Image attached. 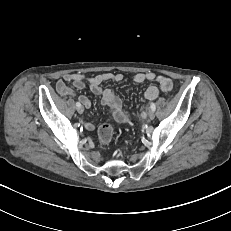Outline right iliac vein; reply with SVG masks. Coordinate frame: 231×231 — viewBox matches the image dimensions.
<instances>
[{"label":"right iliac vein","mask_w":231,"mask_h":231,"mask_svg":"<svg viewBox=\"0 0 231 231\" xmlns=\"http://www.w3.org/2000/svg\"><path fill=\"white\" fill-rule=\"evenodd\" d=\"M78 113L82 114L84 112V108L82 106L77 108Z\"/></svg>","instance_id":"right-iliac-vein-1"}]
</instances>
